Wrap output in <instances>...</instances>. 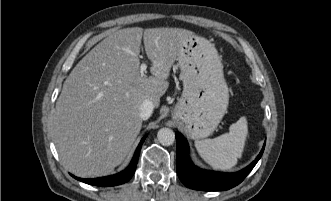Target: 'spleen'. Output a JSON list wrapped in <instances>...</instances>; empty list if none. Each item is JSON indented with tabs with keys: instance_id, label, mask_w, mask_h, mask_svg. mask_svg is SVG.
<instances>
[{
	"instance_id": "1",
	"label": "spleen",
	"mask_w": 331,
	"mask_h": 201,
	"mask_svg": "<svg viewBox=\"0 0 331 201\" xmlns=\"http://www.w3.org/2000/svg\"><path fill=\"white\" fill-rule=\"evenodd\" d=\"M247 134V120L243 116L230 126L228 133L214 139L196 140L195 147L201 158L210 166L228 170L241 158Z\"/></svg>"
}]
</instances>
